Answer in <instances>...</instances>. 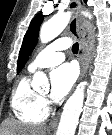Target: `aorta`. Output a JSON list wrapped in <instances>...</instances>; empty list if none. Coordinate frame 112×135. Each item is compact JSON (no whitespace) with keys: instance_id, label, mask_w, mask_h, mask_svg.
Segmentation results:
<instances>
[{"instance_id":"762f6f07","label":"aorta","mask_w":112,"mask_h":135,"mask_svg":"<svg viewBox=\"0 0 112 135\" xmlns=\"http://www.w3.org/2000/svg\"><path fill=\"white\" fill-rule=\"evenodd\" d=\"M83 14L91 18L88 12H83ZM69 20L70 13H58L45 22L40 30L41 42L47 43L56 38L65 29ZM33 85L38 87L47 86V76L41 71L36 72L33 77ZM85 85V82L80 83L72 96L65 103L56 135L75 134L76 126L82 112Z\"/></svg>"}]
</instances>
